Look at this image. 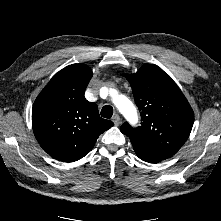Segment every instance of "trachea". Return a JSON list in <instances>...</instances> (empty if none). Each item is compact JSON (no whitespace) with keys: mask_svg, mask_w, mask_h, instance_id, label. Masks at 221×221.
Here are the masks:
<instances>
[{"mask_svg":"<svg viewBox=\"0 0 221 221\" xmlns=\"http://www.w3.org/2000/svg\"><path fill=\"white\" fill-rule=\"evenodd\" d=\"M101 116L104 118H111L113 115V108L110 105H105L101 112H100Z\"/></svg>","mask_w":221,"mask_h":221,"instance_id":"obj_1","label":"trachea"}]
</instances>
